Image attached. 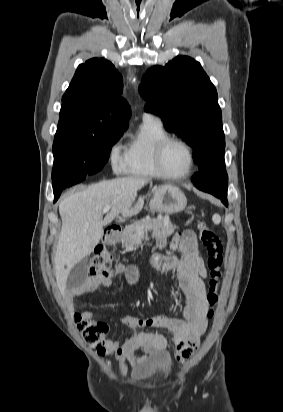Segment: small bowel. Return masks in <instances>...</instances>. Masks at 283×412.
Listing matches in <instances>:
<instances>
[{"instance_id": "1", "label": "small bowel", "mask_w": 283, "mask_h": 412, "mask_svg": "<svg viewBox=\"0 0 283 412\" xmlns=\"http://www.w3.org/2000/svg\"><path fill=\"white\" fill-rule=\"evenodd\" d=\"M165 245V241H160L161 248ZM170 249L178 251L181 255L180 258L174 255L154 256L151 262L158 270L174 274L184 297L183 319L143 318L136 315H125L121 318V323L130 330L166 327L171 332V338L167 339L158 332L144 331L123 341L108 340L106 342L107 353L114 355L120 362L128 364L135 374L147 365L151 357L166 356L170 343L177 347L176 356L178 359L188 358L208 324L209 305L205 289L207 271L199 255L196 234L192 230H185L181 234H177ZM161 258L165 259V263L158 262ZM117 276H124L131 286H137L140 282V274L135 266L119 264L112 275L103 279L86 280L80 287L71 291V296L76 298L92 295L99 288L109 287ZM81 314L92 318V313L89 311H84Z\"/></svg>"}]
</instances>
